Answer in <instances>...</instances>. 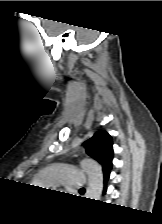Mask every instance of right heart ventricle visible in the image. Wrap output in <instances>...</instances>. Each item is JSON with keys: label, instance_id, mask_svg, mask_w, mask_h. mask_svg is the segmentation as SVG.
Instances as JSON below:
<instances>
[{"label": "right heart ventricle", "instance_id": "1", "mask_svg": "<svg viewBox=\"0 0 162 224\" xmlns=\"http://www.w3.org/2000/svg\"><path fill=\"white\" fill-rule=\"evenodd\" d=\"M36 183L41 184L39 181H37Z\"/></svg>", "mask_w": 162, "mask_h": 224}]
</instances>
